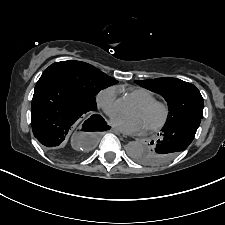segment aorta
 <instances>
[{
    "label": "aorta",
    "mask_w": 225,
    "mask_h": 225,
    "mask_svg": "<svg viewBox=\"0 0 225 225\" xmlns=\"http://www.w3.org/2000/svg\"><path fill=\"white\" fill-rule=\"evenodd\" d=\"M119 106L125 105L124 99H119L118 101ZM145 150L144 145L139 141H131L126 145V153L131 158H136Z\"/></svg>",
    "instance_id": "aorta-1"
}]
</instances>
